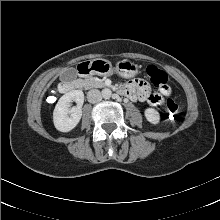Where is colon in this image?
Wrapping results in <instances>:
<instances>
[{"label": "colon", "instance_id": "obj_1", "mask_svg": "<svg viewBox=\"0 0 220 220\" xmlns=\"http://www.w3.org/2000/svg\"><path fill=\"white\" fill-rule=\"evenodd\" d=\"M146 73L149 77V83L152 88L156 90H161L166 87L168 83V78L164 71H162L155 65H149L146 69ZM163 101H161V104L163 103ZM165 114L166 118L172 122H175L179 119V107L174 100L168 99L166 101Z\"/></svg>", "mask_w": 220, "mask_h": 220}]
</instances>
